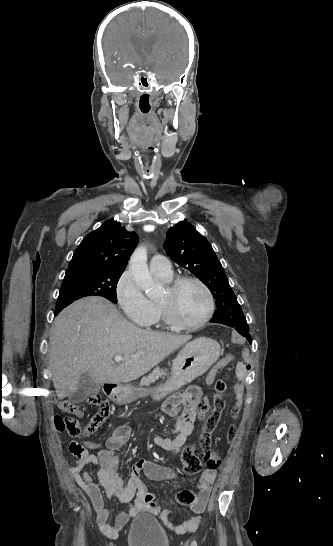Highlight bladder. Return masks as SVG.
<instances>
[{
  "label": "bladder",
  "mask_w": 333,
  "mask_h": 546,
  "mask_svg": "<svg viewBox=\"0 0 333 546\" xmlns=\"http://www.w3.org/2000/svg\"><path fill=\"white\" fill-rule=\"evenodd\" d=\"M127 540L129 546H170L161 523L151 514L140 515L133 520Z\"/></svg>",
  "instance_id": "1"
}]
</instances>
